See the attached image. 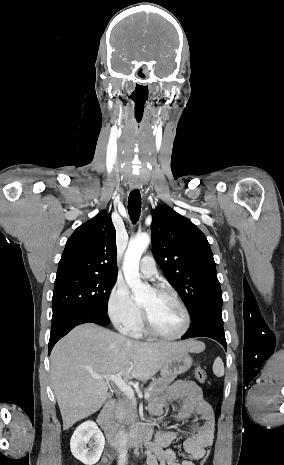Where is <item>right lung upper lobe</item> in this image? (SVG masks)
I'll return each mask as SVG.
<instances>
[{"label":"right lung upper lobe","instance_id":"cb5924a9","mask_svg":"<svg viewBox=\"0 0 284 465\" xmlns=\"http://www.w3.org/2000/svg\"><path fill=\"white\" fill-rule=\"evenodd\" d=\"M115 228L105 211L79 226L67 240L56 278L89 275L117 278Z\"/></svg>","mask_w":284,"mask_h":465}]
</instances>
